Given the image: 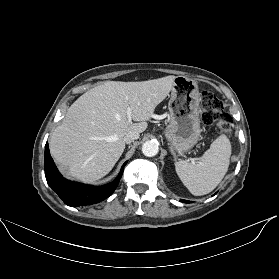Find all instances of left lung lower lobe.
I'll return each instance as SVG.
<instances>
[{
    "label": "left lung lower lobe",
    "instance_id": "0a47b994",
    "mask_svg": "<svg viewBox=\"0 0 279 279\" xmlns=\"http://www.w3.org/2000/svg\"><path fill=\"white\" fill-rule=\"evenodd\" d=\"M182 202L190 203V201H185V200H182Z\"/></svg>",
    "mask_w": 279,
    "mask_h": 279
}]
</instances>
